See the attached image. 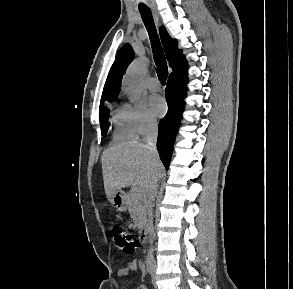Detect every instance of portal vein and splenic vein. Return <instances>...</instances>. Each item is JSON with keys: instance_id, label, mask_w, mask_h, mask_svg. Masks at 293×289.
Returning a JSON list of instances; mask_svg holds the SVG:
<instances>
[{"instance_id": "portal-vein-and-splenic-vein-1", "label": "portal vein and splenic vein", "mask_w": 293, "mask_h": 289, "mask_svg": "<svg viewBox=\"0 0 293 289\" xmlns=\"http://www.w3.org/2000/svg\"><path fill=\"white\" fill-rule=\"evenodd\" d=\"M133 190H135V191L138 192V193H142V192H143L142 189H141V188H138V187H136V188L133 189Z\"/></svg>"}]
</instances>
